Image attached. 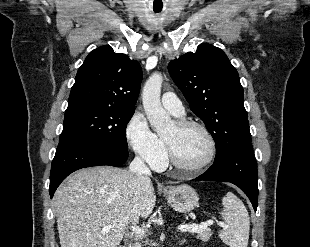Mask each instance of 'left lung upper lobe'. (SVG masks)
Returning <instances> with one entry per match:
<instances>
[{
  "instance_id": "1",
  "label": "left lung upper lobe",
  "mask_w": 310,
  "mask_h": 247,
  "mask_svg": "<svg viewBox=\"0 0 310 247\" xmlns=\"http://www.w3.org/2000/svg\"><path fill=\"white\" fill-rule=\"evenodd\" d=\"M169 73L192 112L207 126L216 143L215 160L251 144L243 87L226 54L204 43L168 65Z\"/></svg>"
}]
</instances>
